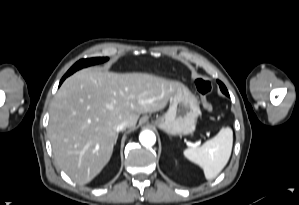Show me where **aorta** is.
<instances>
[{
  "instance_id": "762f6f07",
  "label": "aorta",
  "mask_w": 299,
  "mask_h": 205,
  "mask_svg": "<svg viewBox=\"0 0 299 205\" xmlns=\"http://www.w3.org/2000/svg\"><path fill=\"white\" fill-rule=\"evenodd\" d=\"M139 141L143 146L150 147L155 144L156 136L152 131L145 130L140 133Z\"/></svg>"
}]
</instances>
